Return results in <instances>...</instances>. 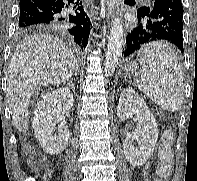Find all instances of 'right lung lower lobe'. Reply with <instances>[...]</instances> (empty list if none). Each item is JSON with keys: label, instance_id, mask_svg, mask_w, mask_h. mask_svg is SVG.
Listing matches in <instances>:
<instances>
[{"label": "right lung lower lobe", "instance_id": "right-lung-lower-lobe-1", "mask_svg": "<svg viewBox=\"0 0 197 181\" xmlns=\"http://www.w3.org/2000/svg\"><path fill=\"white\" fill-rule=\"evenodd\" d=\"M18 26L61 31L82 49L87 46L90 33V20L82 0H20Z\"/></svg>", "mask_w": 197, "mask_h": 181}]
</instances>
